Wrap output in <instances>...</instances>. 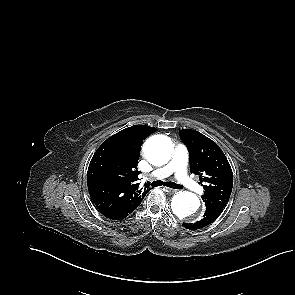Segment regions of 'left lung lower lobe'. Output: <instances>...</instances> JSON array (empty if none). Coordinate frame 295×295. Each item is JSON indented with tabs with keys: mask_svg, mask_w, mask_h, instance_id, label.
I'll return each mask as SVG.
<instances>
[{
	"mask_svg": "<svg viewBox=\"0 0 295 295\" xmlns=\"http://www.w3.org/2000/svg\"><path fill=\"white\" fill-rule=\"evenodd\" d=\"M223 208L216 207V206H208L206 207V211L204 213V217L197 221L196 223H183V226L187 229L197 230L203 228L210 223H212L217 217L221 214Z\"/></svg>",
	"mask_w": 295,
	"mask_h": 295,
	"instance_id": "1",
	"label": "left lung lower lobe"
}]
</instances>
